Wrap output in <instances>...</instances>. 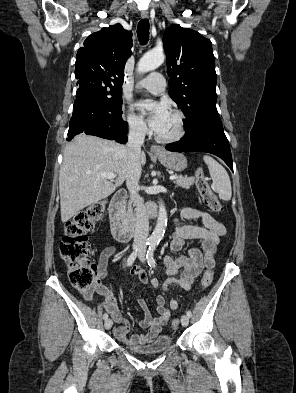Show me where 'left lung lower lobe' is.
I'll list each match as a JSON object with an SVG mask.
<instances>
[{"instance_id":"obj_1","label":"left lung lower lobe","mask_w":296,"mask_h":393,"mask_svg":"<svg viewBox=\"0 0 296 393\" xmlns=\"http://www.w3.org/2000/svg\"><path fill=\"white\" fill-rule=\"evenodd\" d=\"M166 149L173 152H207L220 157L233 171L229 142L225 136L220 117L198 121L186 130L178 142L168 144Z\"/></svg>"}]
</instances>
